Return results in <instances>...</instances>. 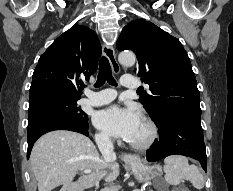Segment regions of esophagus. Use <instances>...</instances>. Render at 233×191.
<instances>
[{
  "mask_svg": "<svg viewBox=\"0 0 233 191\" xmlns=\"http://www.w3.org/2000/svg\"><path fill=\"white\" fill-rule=\"evenodd\" d=\"M102 51H103L104 56L108 59L110 65L112 67L113 72L115 74H118L120 72V66H119V64L117 62L114 48L112 46L104 43L103 46H102ZM123 159L126 162H129V163H134V162L139 161L138 156L131 155V154H125Z\"/></svg>",
  "mask_w": 233,
  "mask_h": 191,
  "instance_id": "esophagus-1",
  "label": "esophagus"
}]
</instances>
